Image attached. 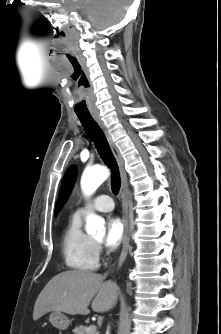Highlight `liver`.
<instances>
[{
	"mask_svg": "<svg viewBox=\"0 0 221 334\" xmlns=\"http://www.w3.org/2000/svg\"><path fill=\"white\" fill-rule=\"evenodd\" d=\"M97 273L64 271L54 276L39 294L33 311L36 321L50 311L69 315H86L89 305L94 312L103 313L117 303L119 287L115 282L104 281Z\"/></svg>",
	"mask_w": 221,
	"mask_h": 334,
	"instance_id": "obj_1",
	"label": "liver"
}]
</instances>
